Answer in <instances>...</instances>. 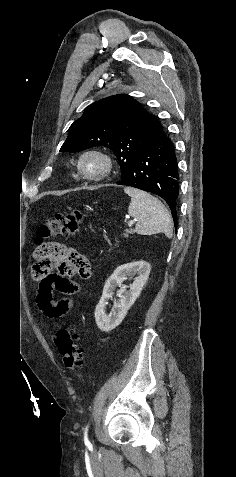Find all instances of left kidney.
<instances>
[{
  "label": "left kidney",
  "mask_w": 236,
  "mask_h": 477,
  "mask_svg": "<svg viewBox=\"0 0 236 477\" xmlns=\"http://www.w3.org/2000/svg\"><path fill=\"white\" fill-rule=\"evenodd\" d=\"M150 274V264L145 261L131 262L119 266L105 283L102 297L95 309V320L98 328L103 332H109L116 328L125 318L127 311L134 304L146 284ZM137 277L134 279L130 289L122 286V282L127 276ZM121 289L118 292L119 300L114 303V309L110 314H106L107 301L112 298L116 286Z\"/></svg>",
  "instance_id": "obj_1"
}]
</instances>
